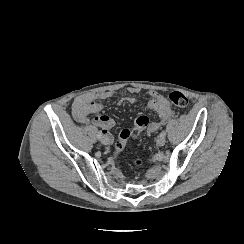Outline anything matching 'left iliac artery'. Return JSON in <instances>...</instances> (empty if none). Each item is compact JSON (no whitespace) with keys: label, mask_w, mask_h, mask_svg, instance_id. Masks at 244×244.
Masks as SVG:
<instances>
[{"label":"left iliac artery","mask_w":244,"mask_h":244,"mask_svg":"<svg viewBox=\"0 0 244 244\" xmlns=\"http://www.w3.org/2000/svg\"><path fill=\"white\" fill-rule=\"evenodd\" d=\"M166 136V132L165 131H162L161 133H160V137H165Z\"/></svg>","instance_id":"left-iliac-artery-1"}]
</instances>
